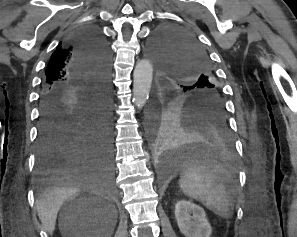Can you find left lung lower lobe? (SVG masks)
Wrapping results in <instances>:
<instances>
[{
  "instance_id": "0a47b994",
  "label": "left lung lower lobe",
  "mask_w": 297,
  "mask_h": 237,
  "mask_svg": "<svg viewBox=\"0 0 297 237\" xmlns=\"http://www.w3.org/2000/svg\"><path fill=\"white\" fill-rule=\"evenodd\" d=\"M159 110L171 107L177 115V128L155 136L154 153L165 168H179L197 162L213 163L231 157L234 147L226 112L218 104L200 101L174 104L162 92L156 102Z\"/></svg>"
}]
</instances>
